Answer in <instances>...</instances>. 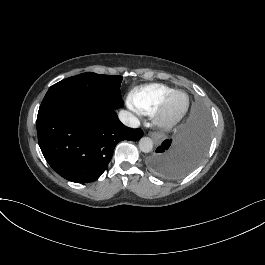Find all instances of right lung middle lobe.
Listing matches in <instances>:
<instances>
[{
    "label": "right lung middle lobe",
    "instance_id": "dd1d6c3e",
    "mask_svg": "<svg viewBox=\"0 0 265 265\" xmlns=\"http://www.w3.org/2000/svg\"><path fill=\"white\" fill-rule=\"evenodd\" d=\"M121 81L122 76L83 73L51 86L42 102L57 96H71L99 108L115 110L124 105L120 94Z\"/></svg>",
    "mask_w": 265,
    "mask_h": 265
}]
</instances>
